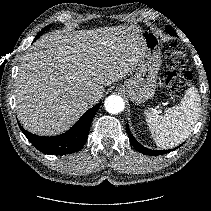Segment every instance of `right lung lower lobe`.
I'll return each instance as SVG.
<instances>
[{"label":"right lung lower lobe","mask_w":211,"mask_h":211,"mask_svg":"<svg viewBox=\"0 0 211 211\" xmlns=\"http://www.w3.org/2000/svg\"><path fill=\"white\" fill-rule=\"evenodd\" d=\"M100 104L90 108L67 132L53 137L34 135L19 124L20 129L32 145L45 154L65 155L79 151L85 144L91 122Z\"/></svg>","instance_id":"obj_1"}]
</instances>
